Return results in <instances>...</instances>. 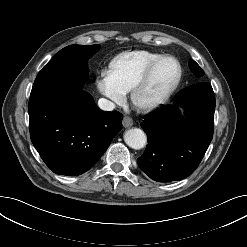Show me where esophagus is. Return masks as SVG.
Masks as SVG:
<instances>
[{
    "mask_svg": "<svg viewBox=\"0 0 247 247\" xmlns=\"http://www.w3.org/2000/svg\"><path fill=\"white\" fill-rule=\"evenodd\" d=\"M122 124L125 128L131 127L133 125V120L129 116H124Z\"/></svg>",
    "mask_w": 247,
    "mask_h": 247,
    "instance_id": "1",
    "label": "esophagus"
}]
</instances>
